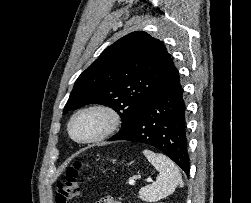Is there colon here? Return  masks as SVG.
<instances>
[{
    "instance_id": "colon-1",
    "label": "colon",
    "mask_w": 251,
    "mask_h": 203,
    "mask_svg": "<svg viewBox=\"0 0 251 203\" xmlns=\"http://www.w3.org/2000/svg\"><path fill=\"white\" fill-rule=\"evenodd\" d=\"M81 168L82 164L76 162L66 170L65 179L57 185L56 203H69L79 195L80 184L78 177Z\"/></svg>"
}]
</instances>
